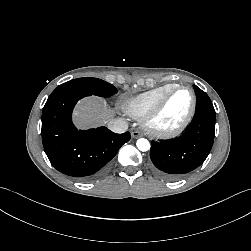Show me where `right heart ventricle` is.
<instances>
[{
	"instance_id": "e07e8e85",
	"label": "right heart ventricle",
	"mask_w": 251,
	"mask_h": 251,
	"mask_svg": "<svg viewBox=\"0 0 251 251\" xmlns=\"http://www.w3.org/2000/svg\"><path fill=\"white\" fill-rule=\"evenodd\" d=\"M176 84H166L123 100V111L132 118L143 119L159 99Z\"/></svg>"
}]
</instances>
